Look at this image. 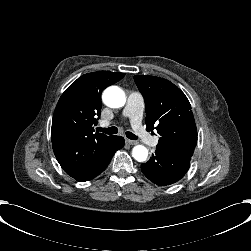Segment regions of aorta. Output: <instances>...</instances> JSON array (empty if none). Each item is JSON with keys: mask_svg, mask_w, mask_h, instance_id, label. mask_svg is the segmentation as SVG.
I'll list each match as a JSON object with an SVG mask.
<instances>
[{"mask_svg": "<svg viewBox=\"0 0 251 251\" xmlns=\"http://www.w3.org/2000/svg\"><path fill=\"white\" fill-rule=\"evenodd\" d=\"M102 99L111 108L123 107L126 103L125 93L118 86L106 88L102 94ZM132 157L138 162H144L148 157V149L143 145H136L132 149Z\"/></svg>", "mask_w": 251, "mask_h": 251, "instance_id": "aorta-1", "label": "aorta"}]
</instances>
